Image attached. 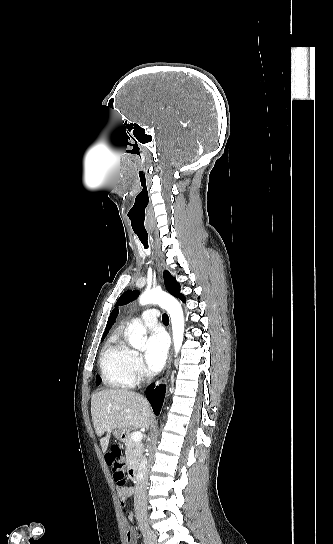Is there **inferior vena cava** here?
<instances>
[{
  "mask_svg": "<svg viewBox=\"0 0 333 544\" xmlns=\"http://www.w3.org/2000/svg\"><path fill=\"white\" fill-rule=\"evenodd\" d=\"M147 483L148 468L147 460L144 456L138 468L134 494V509L139 519L145 518L147 515Z\"/></svg>",
  "mask_w": 333,
  "mask_h": 544,
  "instance_id": "inferior-vena-cava-1",
  "label": "inferior vena cava"
}]
</instances>
